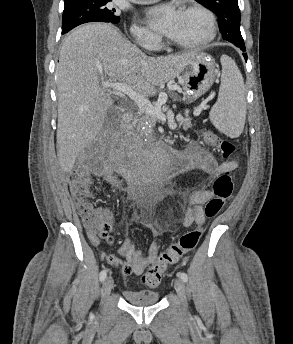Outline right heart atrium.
Wrapping results in <instances>:
<instances>
[{"instance_id": "right-heart-atrium-1", "label": "right heart atrium", "mask_w": 293, "mask_h": 344, "mask_svg": "<svg viewBox=\"0 0 293 344\" xmlns=\"http://www.w3.org/2000/svg\"><path fill=\"white\" fill-rule=\"evenodd\" d=\"M130 33L133 40L144 49L153 50L160 45V38L147 28L134 24L130 28Z\"/></svg>"}]
</instances>
